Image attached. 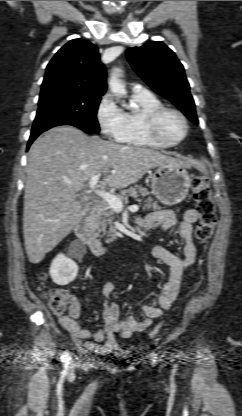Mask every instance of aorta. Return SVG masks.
I'll list each match as a JSON object with an SVG mask.
<instances>
[{
  "instance_id": "aorta-1",
  "label": "aorta",
  "mask_w": 242,
  "mask_h": 416,
  "mask_svg": "<svg viewBox=\"0 0 242 416\" xmlns=\"http://www.w3.org/2000/svg\"><path fill=\"white\" fill-rule=\"evenodd\" d=\"M120 72L121 71L119 69L114 68L109 78V88L115 95H122L126 93L125 86L120 80Z\"/></svg>"
}]
</instances>
